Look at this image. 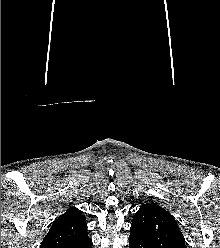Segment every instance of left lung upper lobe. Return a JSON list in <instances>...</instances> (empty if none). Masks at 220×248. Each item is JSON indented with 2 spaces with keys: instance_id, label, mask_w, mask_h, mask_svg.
I'll list each match as a JSON object with an SVG mask.
<instances>
[{
  "instance_id": "5c2ea615",
  "label": "left lung upper lobe",
  "mask_w": 220,
  "mask_h": 248,
  "mask_svg": "<svg viewBox=\"0 0 220 248\" xmlns=\"http://www.w3.org/2000/svg\"><path fill=\"white\" fill-rule=\"evenodd\" d=\"M130 229L154 248H187L175 218L157 204L142 205L135 213Z\"/></svg>"
}]
</instances>
